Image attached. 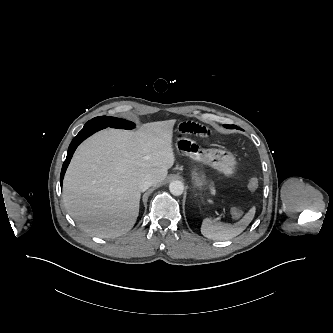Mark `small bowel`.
Listing matches in <instances>:
<instances>
[{"instance_id":"obj_1","label":"small bowel","mask_w":333,"mask_h":333,"mask_svg":"<svg viewBox=\"0 0 333 333\" xmlns=\"http://www.w3.org/2000/svg\"><path fill=\"white\" fill-rule=\"evenodd\" d=\"M178 131L183 134L195 135L198 137H207L210 134V130L199 123L194 121H182L177 125Z\"/></svg>"}]
</instances>
